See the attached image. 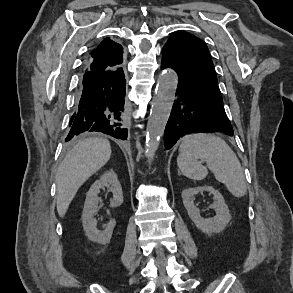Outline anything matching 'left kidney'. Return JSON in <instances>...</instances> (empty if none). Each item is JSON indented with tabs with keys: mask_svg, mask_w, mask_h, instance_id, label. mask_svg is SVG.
Listing matches in <instances>:
<instances>
[{
	"mask_svg": "<svg viewBox=\"0 0 293 293\" xmlns=\"http://www.w3.org/2000/svg\"><path fill=\"white\" fill-rule=\"evenodd\" d=\"M207 191L213 195L214 203L210 208L214 209L216 215L213 218L201 217L200 210L194 205V198L198 193ZM182 199L187 213L196 227L206 234L219 233L225 229L231 220L228 206L221 193L211 186H199L186 188L182 191Z\"/></svg>",
	"mask_w": 293,
	"mask_h": 293,
	"instance_id": "5707ae66",
	"label": "left kidney"
}]
</instances>
